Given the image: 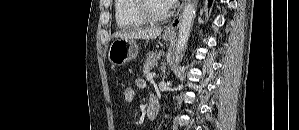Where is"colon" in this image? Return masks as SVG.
Here are the masks:
<instances>
[{
  "mask_svg": "<svg viewBox=\"0 0 299 130\" xmlns=\"http://www.w3.org/2000/svg\"><path fill=\"white\" fill-rule=\"evenodd\" d=\"M122 98L125 103H130L135 98V89L132 85H126L122 91Z\"/></svg>",
  "mask_w": 299,
  "mask_h": 130,
  "instance_id": "5ec220e1",
  "label": "colon"
}]
</instances>
